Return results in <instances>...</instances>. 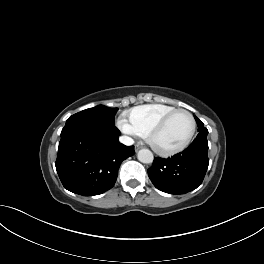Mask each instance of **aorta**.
Masks as SVG:
<instances>
[{
  "instance_id": "aorta-1",
  "label": "aorta",
  "mask_w": 264,
  "mask_h": 264,
  "mask_svg": "<svg viewBox=\"0 0 264 264\" xmlns=\"http://www.w3.org/2000/svg\"><path fill=\"white\" fill-rule=\"evenodd\" d=\"M137 158L141 163L150 164L154 160L153 153L149 149H141L137 154Z\"/></svg>"
}]
</instances>
